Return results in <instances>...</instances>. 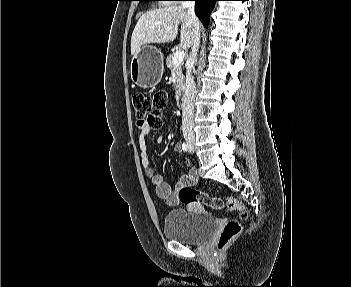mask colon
I'll list each match as a JSON object with an SVG mask.
<instances>
[{
	"label": "colon",
	"mask_w": 351,
	"mask_h": 287,
	"mask_svg": "<svg viewBox=\"0 0 351 287\" xmlns=\"http://www.w3.org/2000/svg\"><path fill=\"white\" fill-rule=\"evenodd\" d=\"M133 106L138 120H147L150 128L158 129L162 126L163 115L167 106L168 96L164 91H158L153 95L137 92L133 95ZM179 199L186 204L199 202L209 205L217 210L231 209L240 211L241 219L247 217L245 207L232 198L211 197L206 193L196 191L190 186H185L178 193ZM242 230L241 222L238 220H230L224 226L217 246L224 249L234 238H236Z\"/></svg>",
	"instance_id": "colon-1"
}]
</instances>
